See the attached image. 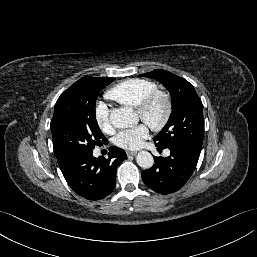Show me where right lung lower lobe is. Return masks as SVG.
I'll return each instance as SVG.
<instances>
[{"label":"right lung lower lobe","instance_id":"obj_1","mask_svg":"<svg viewBox=\"0 0 257 257\" xmlns=\"http://www.w3.org/2000/svg\"><path fill=\"white\" fill-rule=\"evenodd\" d=\"M127 158L123 149L110 148L108 158L96 159L93 153L73 158L62 169L69 186L80 196L89 200H100L114 189L116 169Z\"/></svg>","mask_w":257,"mask_h":257}]
</instances>
